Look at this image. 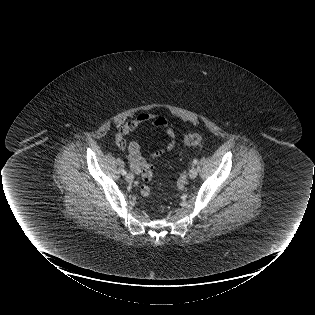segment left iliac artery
<instances>
[{"instance_id": "44dca946", "label": "left iliac artery", "mask_w": 315, "mask_h": 315, "mask_svg": "<svg viewBox=\"0 0 315 315\" xmlns=\"http://www.w3.org/2000/svg\"><path fill=\"white\" fill-rule=\"evenodd\" d=\"M193 163H194V164H197V163H198V159H194V160H193Z\"/></svg>"}]
</instances>
